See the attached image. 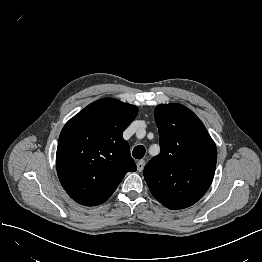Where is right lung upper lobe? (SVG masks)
<instances>
[{
    "instance_id": "obj_1",
    "label": "right lung upper lobe",
    "mask_w": 262,
    "mask_h": 262,
    "mask_svg": "<svg viewBox=\"0 0 262 262\" xmlns=\"http://www.w3.org/2000/svg\"><path fill=\"white\" fill-rule=\"evenodd\" d=\"M137 113L134 105L104 98L65 124L56 153L57 173L77 203L96 206L105 202L125 174L136 171L122 134Z\"/></svg>"
}]
</instances>
